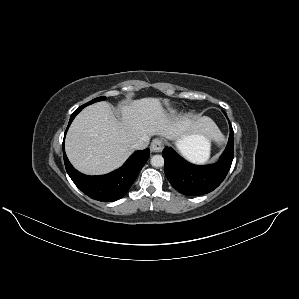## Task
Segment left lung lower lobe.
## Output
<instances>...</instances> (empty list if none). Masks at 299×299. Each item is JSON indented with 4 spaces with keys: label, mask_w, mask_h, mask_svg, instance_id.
Instances as JSON below:
<instances>
[{
    "label": "left lung lower lobe",
    "mask_w": 299,
    "mask_h": 299,
    "mask_svg": "<svg viewBox=\"0 0 299 299\" xmlns=\"http://www.w3.org/2000/svg\"><path fill=\"white\" fill-rule=\"evenodd\" d=\"M226 115V113L224 112ZM227 116V115H226ZM230 125L229 141L221 159L212 165H193L180 157L172 148L165 147V175L180 193L197 196L217 188L226 177L234 157L233 128Z\"/></svg>",
    "instance_id": "1"
}]
</instances>
